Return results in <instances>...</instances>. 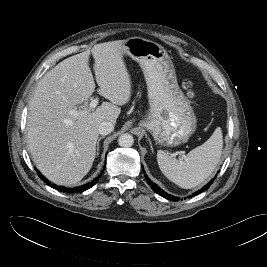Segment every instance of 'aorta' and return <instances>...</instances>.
<instances>
[{"instance_id": "762f6f07", "label": "aorta", "mask_w": 267, "mask_h": 267, "mask_svg": "<svg viewBox=\"0 0 267 267\" xmlns=\"http://www.w3.org/2000/svg\"><path fill=\"white\" fill-rule=\"evenodd\" d=\"M134 143V138L128 133H124L118 138V144L121 147H131Z\"/></svg>"}]
</instances>
